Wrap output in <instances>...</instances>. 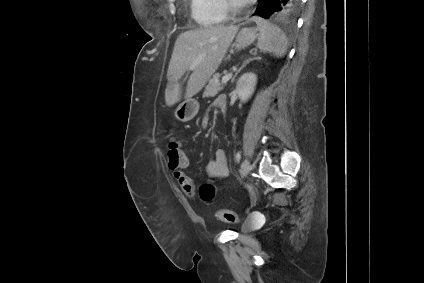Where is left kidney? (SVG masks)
Here are the masks:
<instances>
[{"label": "left kidney", "mask_w": 424, "mask_h": 283, "mask_svg": "<svg viewBox=\"0 0 424 283\" xmlns=\"http://www.w3.org/2000/svg\"><path fill=\"white\" fill-rule=\"evenodd\" d=\"M257 77L253 73L243 74L236 83V94L239 99L246 102L253 94Z\"/></svg>", "instance_id": "left-kidney-1"}]
</instances>
